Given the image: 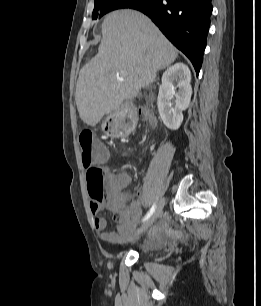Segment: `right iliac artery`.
<instances>
[{"label": "right iliac artery", "mask_w": 261, "mask_h": 306, "mask_svg": "<svg viewBox=\"0 0 261 306\" xmlns=\"http://www.w3.org/2000/svg\"><path fill=\"white\" fill-rule=\"evenodd\" d=\"M155 208H156V206H155V204H153L152 207L150 208V210L148 211V213L146 214V216L144 217L143 222L148 220L151 217V215L155 211Z\"/></svg>", "instance_id": "right-iliac-artery-1"}]
</instances>
